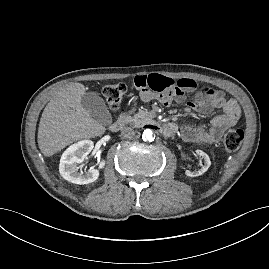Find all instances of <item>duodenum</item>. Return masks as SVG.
<instances>
[{
    "label": "duodenum",
    "mask_w": 269,
    "mask_h": 269,
    "mask_svg": "<svg viewBox=\"0 0 269 269\" xmlns=\"http://www.w3.org/2000/svg\"><path fill=\"white\" fill-rule=\"evenodd\" d=\"M125 124V114H120L117 119L110 125L112 132H118ZM164 134H171L174 132V125L172 123L163 124L158 128Z\"/></svg>",
    "instance_id": "1"
}]
</instances>
